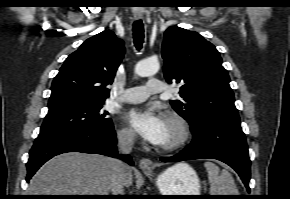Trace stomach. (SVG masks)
<instances>
[{"mask_svg": "<svg viewBox=\"0 0 290 199\" xmlns=\"http://www.w3.org/2000/svg\"><path fill=\"white\" fill-rule=\"evenodd\" d=\"M147 176L152 177V174L147 173ZM156 184L162 195H199L200 193L199 177L186 163L168 168L157 177Z\"/></svg>", "mask_w": 290, "mask_h": 199, "instance_id": "stomach-1", "label": "stomach"}]
</instances>
